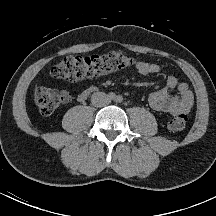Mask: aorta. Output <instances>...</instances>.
<instances>
[{
  "mask_svg": "<svg viewBox=\"0 0 216 216\" xmlns=\"http://www.w3.org/2000/svg\"><path fill=\"white\" fill-rule=\"evenodd\" d=\"M122 97L121 96H117L116 98H115V101H117V102H121L122 101Z\"/></svg>",
  "mask_w": 216,
  "mask_h": 216,
  "instance_id": "1",
  "label": "aorta"
}]
</instances>
